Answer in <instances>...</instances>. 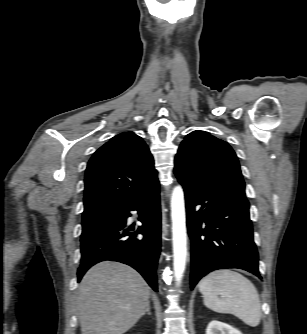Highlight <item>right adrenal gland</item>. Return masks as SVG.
<instances>
[{"instance_id": "2a0ac1e0", "label": "right adrenal gland", "mask_w": 307, "mask_h": 334, "mask_svg": "<svg viewBox=\"0 0 307 334\" xmlns=\"http://www.w3.org/2000/svg\"><path fill=\"white\" fill-rule=\"evenodd\" d=\"M145 313H147L148 315H151V311H150V303L147 305L145 311L143 312V315H145Z\"/></svg>"}]
</instances>
